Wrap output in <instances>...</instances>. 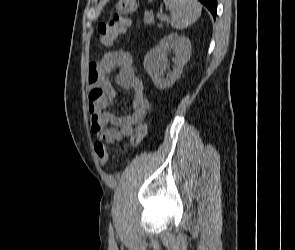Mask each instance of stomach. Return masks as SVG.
Masks as SVG:
<instances>
[{
  "mask_svg": "<svg viewBox=\"0 0 295 250\" xmlns=\"http://www.w3.org/2000/svg\"><path fill=\"white\" fill-rule=\"evenodd\" d=\"M138 7L136 0H120L116 5V10L122 14L135 11Z\"/></svg>",
  "mask_w": 295,
  "mask_h": 250,
  "instance_id": "obj_1",
  "label": "stomach"
}]
</instances>
